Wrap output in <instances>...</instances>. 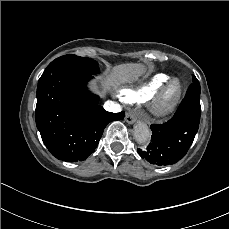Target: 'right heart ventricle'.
<instances>
[{"label": "right heart ventricle", "instance_id": "obj_1", "mask_svg": "<svg viewBox=\"0 0 229 229\" xmlns=\"http://www.w3.org/2000/svg\"><path fill=\"white\" fill-rule=\"evenodd\" d=\"M166 73H155L140 82L135 88H126L122 94L130 98H147L158 94L170 82Z\"/></svg>", "mask_w": 229, "mask_h": 229}]
</instances>
